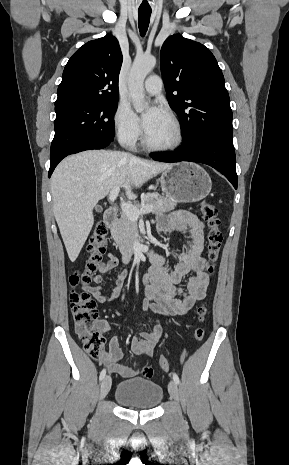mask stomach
Masks as SVG:
<instances>
[{
	"mask_svg": "<svg viewBox=\"0 0 289 465\" xmlns=\"http://www.w3.org/2000/svg\"><path fill=\"white\" fill-rule=\"evenodd\" d=\"M163 193L182 203H193L204 199L211 191L212 181L199 165L189 162L173 164L160 177Z\"/></svg>",
	"mask_w": 289,
	"mask_h": 465,
	"instance_id": "obj_1",
	"label": "stomach"
}]
</instances>
